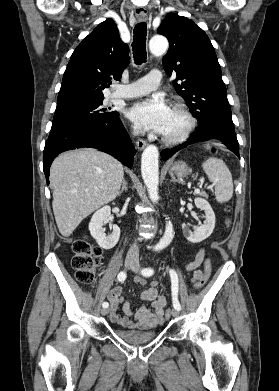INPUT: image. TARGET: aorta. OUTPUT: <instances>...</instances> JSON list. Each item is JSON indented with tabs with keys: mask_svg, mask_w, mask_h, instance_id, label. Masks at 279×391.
I'll use <instances>...</instances> for the list:
<instances>
[{
	"mask_svg": "<svg viewBox=\"0 0 279 391\" xmlns=\"http://www.w3.org/2000/svg\"><path fill=\"white\" fill-rule=\"evenodd\" d=\"M168 41L163 36H155L149 42L150 52L154 56H160L166 52ZM159 151L155 145H148L141 157V173L143 181L147 187L149 197L152 202L157 203L159 200L158 185H159ZM173 239V227L170 222L166 224L165 233L159 241L156 249L167 247Z\"/></svg>",
	"mask_w": 279,
	"mask_h": 391,
	"instance_id": "obj_1",
	"label": "aorta"
}]
</instances>
